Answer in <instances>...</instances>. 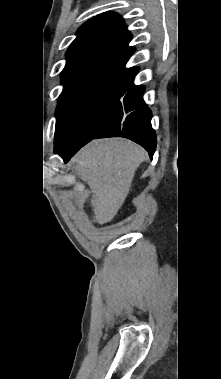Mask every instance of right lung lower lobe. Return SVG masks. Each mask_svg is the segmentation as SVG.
Returning a JSON list of instances; mask_svg holds the SVG:
<instances>
[{"instance_id":"right-lung-lower-lobe-1","label":"right lung lower lobe","mask_w":221,"mask_h":379,"mask_svg":"<svg viewBox=\"0 0 221 379\" xmlns=\"http://www.w3.org/2000/svg\"><path fill=\"white\" fill-rule=\"evenodd\" d=\"M136 73L122 81L121 98L115 110L93 138L69 143L55 141V153L60 154L65 163L87 142L104 137L129 138L144 147L152 158L157 143L151 127L152 113L142 98L144 87L133 84Z\"/></svg>"}]
</instances>
